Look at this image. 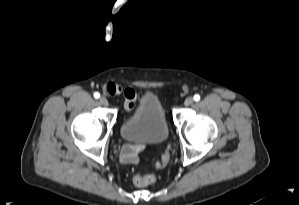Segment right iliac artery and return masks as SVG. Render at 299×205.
Listing matches in <instances>:
<instances>
[{
  "instance_id": "right-iliac-artery-1",
  "label": "right iliac artery",
  "mask_w": 299,
  "mask_h": 205,
  "mask_svg": "<svg viewBox=\"0 0 299 205\" xmlns=\"http://www.w3.org/2000/svg\"><path fill=\"white\" fill-rule=\"evenodd\" d=\"M94 97H95L96 99H98V98L100 97V94H99L98 92H95V93H94Z\"/></svg>"
}]
</instances>
